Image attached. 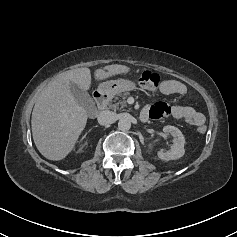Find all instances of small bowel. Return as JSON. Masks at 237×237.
I'll use <instances>...</instances> for the list:
<instances>
[{
    "label": "small bowel",
    "instance_id": "small-bowel-1",
    "mask_svg": "<svg viewBox=\"0 0 237 237\" xmlns=\"http://www.w3.org/2000/svg\"><path fill=\"white\" fill-rule=\"evenodd\" d=\"M161 93L165 95H184L187 92L185 84L175 79H166L160 86ZM167 115L175 119L182 120L192 126L200 127L205 123L204 115L189 105H169L166 102L160 101L153 105L146 106L142 113V120L148 118H163Z\"/></svg>",
    "mask_w": 237,
    "mask_h": 237
}]
</instances>
